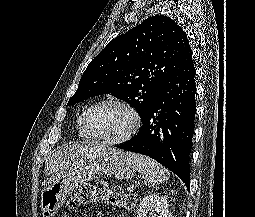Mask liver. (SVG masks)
Returning <instances> with one entry per match:
<instances>
[{
	"mask_svg": "<svg viewBox=\"0 0 255 217\" xmlns=\"http://www.w3.org/2000/svg\"><path fill=\"white\" fill-rule=\"evenodd\" d=\"M109 148L100 144H66L45 160V174L53 175L74 163L97 158Z\"/></svg>",
	"mask_w": 255,
	"mask_h": 217,
	"instance_id": "liver-1",
	"label": "liver"
}]
</instances>
